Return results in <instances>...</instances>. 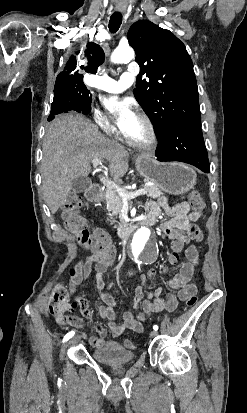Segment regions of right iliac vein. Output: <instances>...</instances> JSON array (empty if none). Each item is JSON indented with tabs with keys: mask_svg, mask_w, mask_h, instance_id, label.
I'll return each instance as SVG.
<instances>
[{
	"mask_svg": "<svg viewBox=\"0 0 247 413\" xmlns=\"http://www.w3.org/2000/svg\"><path fill=\"white\" fill-rule=\"evenodd\" d=\"M79 341V336H75L73 337L67 344V347H71L73 345H75L77 342Z\"/></svg>",
	"mask_w": 247,
	"mask_h": 413,
	"instance_id": "63e3f726",
	"label": "right iliac vein"
}]
</instances>
